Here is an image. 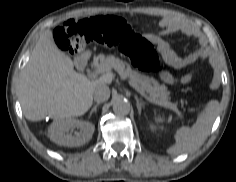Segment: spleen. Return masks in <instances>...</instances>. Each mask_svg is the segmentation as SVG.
<instances>
[{
    "instance_id": "obj_1",
    "label": "spleen",
    "mask_w": 236,
    "mask_h": 182,
    "mask_svg": "<svg viewBox=\"0 0 236 182\" xmlns=\"http://www.w3.org/2000/svg\"><path fill=\"white\" fill-rule=\"evenodd\" d=\"M218 102L210 101L199 114L192 127H181L176 131L175 144L167 149L172 155H180L199 148L207 138L217 115ZM160 122V118H154Z\"/></svg>"
}]
</instances>
